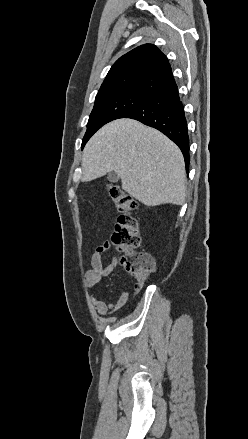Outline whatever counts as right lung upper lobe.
Wrapping results in <instances>:
<instances>
[{
	"label": "right lung upper lobe",
	"mask_w": 248,
	"mask_h": 439,
	"mask_svg": "<svg viewBox=\"0 0 248 439\" xmlns=\"http://www.w3.org/2000/svg\"><path fill=\"white\" fill-rule=\"evenodd\" d=\"M175 83L166 56L152 44H144L120 57L111 67L96 98L117 92L152 96Z\"/></svg>",
	"instance_id": "right-lung-upper-lobe-1"
}]
</instances>
